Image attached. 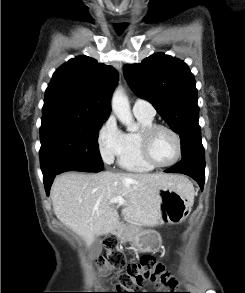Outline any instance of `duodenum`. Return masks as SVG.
<instances>
[{
  "instance_id": "obj_1",
  "label": "duodenum",
  "mask_w": 245,
  "mask_h": 293,
  "mask_svg": "<svg viewBox=\"0 0 245 293\" xmlns=\"http://www.w3.org/2000/svg\"><path fill=\"white\" fill-rule=\"evenodd\" d=\"M110 235H115L116 234V226L112 225L109 231Z\"/></svg>"
}]
</instances>
